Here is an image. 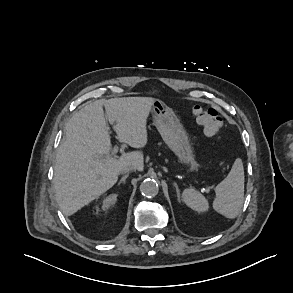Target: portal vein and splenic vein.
Instances as JSON below:
<instances>
[{
	"mask_svg": "<svg viewBox=\"0 0 293 293\" xmlns=\"http://www.w3.org/2000/svg\"><path fill=\"white\" fill-rule=\"evenodd\" d=\"M117 152H118V147L114 146L112 151H111V156L115 158ZM101 159H103V158H101Z\"/></svg>",
	"mask_w": 293,
	"mask_h": 293,
	"instance_id": "obj_1",
	"label": "portal vein and splenic vein"
}]
</instances>
